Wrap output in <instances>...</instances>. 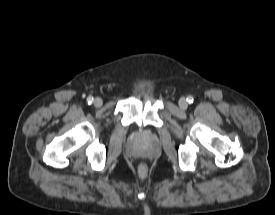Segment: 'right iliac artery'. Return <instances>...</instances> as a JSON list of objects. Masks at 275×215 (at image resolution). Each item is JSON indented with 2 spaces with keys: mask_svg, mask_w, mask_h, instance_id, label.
Instances as JSON below:
<instances>
[{
  "mask_svg": "<svg viewBox=\"0 0 275 215\" xmlns=\"http://www.w3.org/2000/svg\"><path fill=\"white\" fill-rule=\"evenodd\" d=\"M93 100H94V98H93L92 96H89V97L87 98L88 104H91V103L93 102Z\"/></svg>",
  "mask_w": 275,
  "mask_h": 215,
  "instance_id": "obj_1",
  "label": "right iliac artery"
}]
</instances>
